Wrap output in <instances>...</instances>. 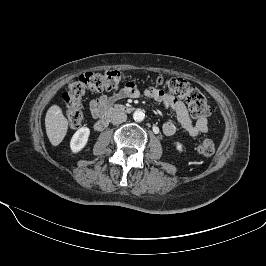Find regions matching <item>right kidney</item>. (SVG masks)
<instances>
[{
    "label": "right kidney",
    "mask_w": 266,
    "mask_h": 266,
    "mask_svg": "<svg viewBox=\"0 0 266 266\" xmlns=\"http://www.w3.org/2000/svg\"><path fill=\"white\" fill-rule=\"evenodd\" d=\"M89 135L90 129L88 127H82L75 132L70 142V148L73 153H78L86 146Z\"/></svg>",
    "instance_id": "ca27d5eb"
}]
</instances>
